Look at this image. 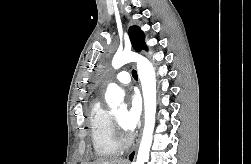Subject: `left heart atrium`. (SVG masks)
I'll return each mask as SVG.
<instances>
[{"mask_svg": "<svg viewBox=\"0 0 251 164\" xmlns=\"http://www.w3.org/2000/svg\"><path fill=\"white\" fill-rule=\"evenodd\" d=\"M142 110L141 98L137 93H132L129 97V106L124 115L122 126L124 129L133 130L139 123Z\"/></svg>", "mask_w": 251, "mask_h": 164, "instance_id": "left-heart-atrium-1", "label": "left heart atrium"}]
</instances>
